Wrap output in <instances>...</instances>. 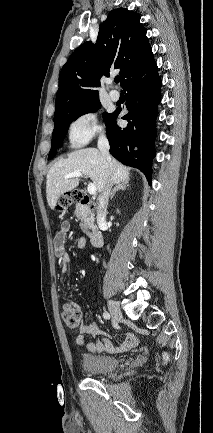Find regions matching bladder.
<instances>
[{
	"label": "bladder",
	"mask_w": 213,
	"mask_h": 433,
	"mask_svg": "<svg viewBox=\"0 0 213 433\" xmlns=\"http://www.w3.org/2000/svg\"><path fill=\"white\" fill-rule=\"evenodd\" d=\"M120 364L119 358L97 353H82L81 366L89 375H105L114 371Z\"/></svg>",
	"instance_id": "31cf9c89"
}]
</instances>
